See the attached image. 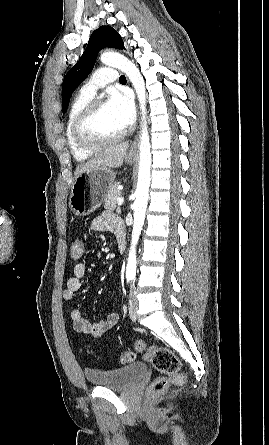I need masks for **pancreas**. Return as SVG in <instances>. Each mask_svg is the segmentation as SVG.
<instances>
[{"mask_svg":"<svg viewBox=\"0 0 269 445\" xmlns=\"http://www.w3.org/2000/svg\"><path fill=\"white\" fill-rule=\"evenodd\" d=\"M118 185L119 183H115L110 189V192L105 199L104 207L106 209L114 210L117 207V199L122 196L121 192L118 190Z\"/></svg>","mask_w":269,"mask_h":445,"instance_id":"obj_1","label":"pancreas"}]
</instances>
